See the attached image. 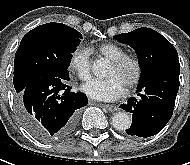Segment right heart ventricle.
I'll return each mask as SVG.
<instances>
[{"instance_id":"1","label":"right heart ventricle","mask_w":190,"mask_h":165,"mask_svg":"<svg viewBox=\"0 0 190 165\" xmlns=\"http://www.w3.org/2000/svg\"><path fill=\"white\" fill-rule=\"evenodd\" d=\"M91 50L95 51L110 61H115L124 56H127L126 51L122 47L113 43L100 44Z\"/></svg>"}]
</instances>
